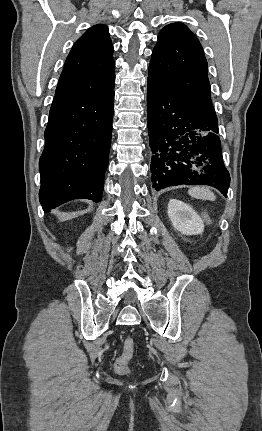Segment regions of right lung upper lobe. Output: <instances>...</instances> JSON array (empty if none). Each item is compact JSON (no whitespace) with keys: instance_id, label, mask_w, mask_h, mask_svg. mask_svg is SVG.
Masks as SVG:
<instances>
[{"instance_id":"cb5924a9","label":"right lung upper lobe","mask_w":262,"mask_h":431,"mask_svg":"<svg viewBox=\"0 0 262 431\" xmlns=\"http://www.w3.org/2000/svg\"><path fill=\"white\" fill-rule=\"evenodd\" d=\"M113 46L106 26L96 25L73 45L55 97H99L114 89Z\"/></svg>"}]
</instances>
